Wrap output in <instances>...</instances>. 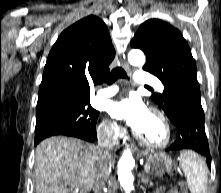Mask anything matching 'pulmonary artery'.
Returning a JSON list of instances; mask_svg holds the SVG:
<instances>
[{
  "mask_svg": "<svg viewBox=\"0 0 221 193\" xmlns=\"http://www.w3.org/2000/svg\"><path fill=\"white\" fill-rule=\"evenodd\" d=\"M135 81L138 85H144L147 87H154L160 91H162L164 88L162 82L156 76H154L144 70H138L135 73ZM117 92H118L117 86H114V85L106 86V87L97 91L96 97L98 99H104V98H108V97L113 96Z\"/></svg>",
  "mask_w": 221,
  "mask_h": 193,
  "instance_id": "obj_1",
  "label": "pulmonary artery"
}]
</instances>
